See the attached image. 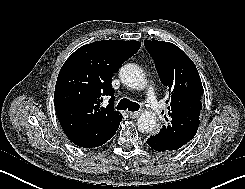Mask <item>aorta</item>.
Instances as JSON below:
<instances>
[{
  "mask_svg": "<svg viewBox=\"0 0 245 189\" xmlns=\"http://www.w3.org/2000/svg\"><path fill=\"white\" fill-rule=\"evenodd\" d=\"M119 76L122 83L132 89L142 90L147 85L143 70L136 64L128 63L121 67ZM140 132L150 133L156 126V117L150 111H144L137 119Z\"/></svg>",
  "mask_w": 245,
  "mask_h": 189,
  "instance_id": "1",
  "label": "aorta"
}]
</instances>
